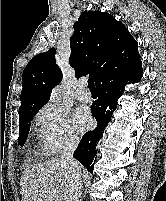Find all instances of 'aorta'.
Masks as SVG:
<instances>
[{
    "instance_id": "762f6f07",
    "label": "aorta",
    "mask_w": 166,
    "mask_h": 201,
    "mask_svg": "<svg viewBox=\"0 0 166 201\" xmlns=\"http://www.w3.org/2000/svg\"><path fill=\"white\" fill-rule=\"evenodd\" d=\"M52 102H58L60 100V96L59 93L57 92V90H54L52 95H51V99Z\"/></svg>"
}]
</instances>
